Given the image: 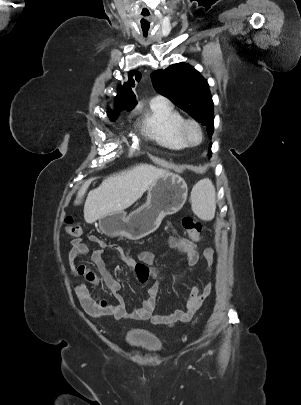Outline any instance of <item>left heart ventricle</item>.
Instances as JSON below:
<instances>
[{"mask_svg": "<svg viewBox=\"0 0 301 405\" xmlns=\"http://www.w3.org/2000/svg\"><path fill=\"white\" fill-rule=\"evenodd\" d=\"M188 135L192 141H198L199 139L198 132L194 128H189Z\"/></svg>", "mask_w": 301, "mask_h": 405, "instance_id": "b2bd125f", "label": "left heart ventricle"}]
</instances>
